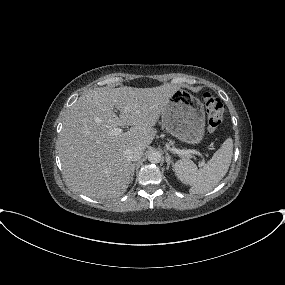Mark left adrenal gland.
I'll return each mask as SVG.
<instances>
[{"label": "left adrenal gland", "mask_w": 285, "mask_h": 285, "mask_svg": "<svg viewBox=\"0 0 285 285\" xmlns=\"http://www.w3.org/2000/svg\"><path fill=\"white\" fill-rule=\"evenodd\" d=\"M166 163H167V170H169V166L172 163V158L171 156L166 152Z\"/></svg>", "instance_id": "a2214340"}]
</instances>
